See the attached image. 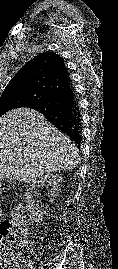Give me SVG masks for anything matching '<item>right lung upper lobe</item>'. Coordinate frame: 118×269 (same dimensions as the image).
<instances>
[{
  "label": "right lung upper lobe",
  "mask_w": 118,
  "mask_h": 269,
  "mask_svg": "<svg viewBox=\"0 0 118 269\" xmlns=\"http://www.w3.org/2000/svg\"><path fill=\"white\" fill-rule=\"evenodd\" d=\"M71 85L63 58L54 52H43L26 63L5 88L6 94H26L34 97L28 106Z\"/></svg>",
  "instance_id": "cb5924a9"
}]
</instances>
